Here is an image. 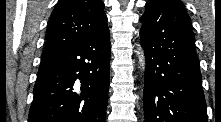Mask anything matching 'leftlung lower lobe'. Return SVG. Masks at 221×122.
Segmentation results:
<instances>
[{
  "mask_svg": "<svg viewBox=\"0 0 221 122\" xmlns=\"http://www.w3.org/2000/svg\"><path fill=\"white\" fill-rule=\"evenodd\" d=\"M140 18L144 122H207L191 20L180 0H149Z\"/></svg>",
  "mask_w": 221,
  "mask_h": 122,
  "instance_id": "left-lung-lower-lobe-1",
  "label": "left lung lower lobe"
}]
</instances>
